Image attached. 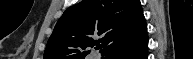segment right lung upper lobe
I'll list each match as a JSON object with an SVG mask.
<instances>
[{
    "label": "right lung upper lobe",
    "mask_w": 193,
    "mask_h": 59,
    "mask_svg": "<svg viewBox=\"0 0 193 59\" xmlns=\"http://www.w3.org/2000/svg\"><path fill=\"white\" fill-rule=\"evenodd\" d=\"M146 31L140 0H82L58 20L44 59H84L99 42L107 59Z\"/></svg>",
    "instance_id": "1"
}]
</instances>
